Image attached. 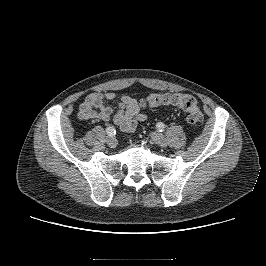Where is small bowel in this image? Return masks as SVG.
<instances>
[{
	"mask_svg": "<svg viewBox=\"0 0 266 266\" xmlns=\"http://www.w3.org/2000/svg\"><path fill=\"white\" fill-rule=\"evenodd\" d=\"M118 100L116 108L106 106L107 101ZM79 118L84 121L114 122L124 131H134L147 119L138 98L129 95L118 97L114 92H93L86 96L79 108Z\"/></svg>",
	"mask_w": 266,
	"mask_h": 266,
	"instance_id": "c3829d8e",
	"label": "small bowel"
}]
</instances>
